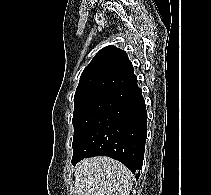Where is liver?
<instances>
[{
	"label": "liver",
	"mask_w": 211,
	"mask_h": 195,
	"mask_svg": "<svg viewBox=\"0 0 211 195\" xmlns=\"http://www.w3.org/2000/svg\"><path fill=\"white\" fill-rule=\"evenodd\" d=\"M74 176L75 195H129L133 185L130 170L106 156L82 160Z\"/></svg>",
	"instance_id": "liver-1"
}]
</instances>
